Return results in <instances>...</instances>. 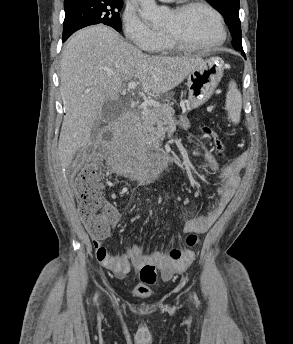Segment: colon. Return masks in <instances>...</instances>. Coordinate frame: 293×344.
Wrapping results in <instances>:
<instances>
[{
	"label": "colon",
	"mask_w": 293,
	"mask_h": 344,
	"mask_svg": "<svg viewBox=\"0 0 293 344\" xmlns=\"http://www.w3.org/2000/svg\"><path fill=\"white\" fill-rule=\"evenodd\" d=\"M203 133L210 138L215 147L223 148L221 140L209 128H204ZM103 188L102 171L94 163L86 165L78 174L75 181V194L78 202V210L83 218L88 233L96 239L104 238L109 234L118 219L117 211L109 205L101 195ZM197 243V236L189 234L186 238V246L194 247ZM183 251L179 248H172L169 256L172 260H179ZM140 280L143 284L151 286L157 281L155 266L146 265L140 270Z\"/></svg>",
	"instance_id": "obj_1"
}]
</instances>
